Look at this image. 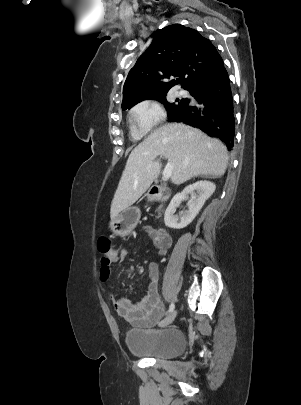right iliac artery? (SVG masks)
<instances>
[{"mask_svg": "<svg viewBox=\"0 0 301 405\" xmlns=\"http://www.w3.org/2000/svg\"><path fill=\"white\" fill-rule=\"evenodd\" d=\"M173 310H174V304H173V303H171V305H170V307H169L168 312H172Z\"/></svg>", "mask_w": 301, "mask_h": 405, "instance_id": "1", "label": "right iliac artery"}]
</instances>
